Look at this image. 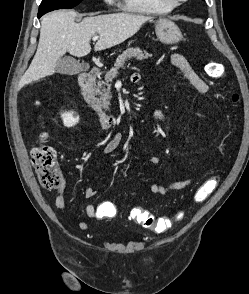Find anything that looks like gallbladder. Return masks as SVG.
<instances>
[{
    "label": "gallbladder",
    "mask_w": 249,
    "mask_h": 294,
    "mask_svg": "<svg viewBox=\"0 0 249 294\" xmlns=\"http://www.w3.org/2000/svg\"><path fill=\"white\" fill-rule=\"evenodd\" d=\"M56 70L60 74L75 75L82 70V65L72 57H62L57 62Z\"/></svg>",
    "instance_id": "obj_1"
}]
</instances>
